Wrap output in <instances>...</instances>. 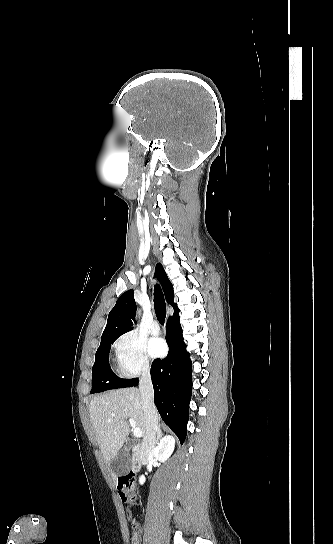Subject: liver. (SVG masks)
<instances>
[{"instance_id":"obj_1","label":"liver","mask_w":333,"mask_h":544,"mask_svg":"<svg viewBox=\"0 0 333 544\" xmlns=\"http://www.w3.org/2000/svg\"><path fill=\"white\" fill-rule=\"evenodd\" d=\"M89 413L96 441L108 465L129 435L127 419H134L145 436L142 398L137 388L111 390L95 397L90 402ZM117 476L113 474L114 479Z\"/></svg>"}]
</instances>
